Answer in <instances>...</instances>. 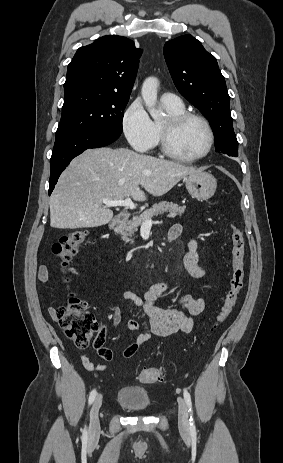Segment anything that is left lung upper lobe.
Instances as JSON below:
<instances>
[{"label": "left lung upper lobe", "mask_w": 283, "mask_h": 463, "mask_svg": "<svg viewBox=\"0 0 283 463\" xmlns=\"http://www.w3.org/2000/svg\"><path fill=\"white\" fill-rule=\"evenodd\" d=\"M164 56L179 92L209 120L215 134L216 151L238 156L230 97L216 58L191 35L166 42Z\"/></svg>", "instance_id": "1"}]
</instances>
